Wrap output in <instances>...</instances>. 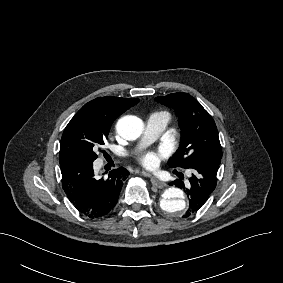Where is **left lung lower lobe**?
Here are the masks:
<instances>
[{
    "mask_svg": "<svg viewBox=\"0 0 283 283\" xmlns=\"http://www.w3.org/2000/svg\"><path fill=\"white\" fill-rule=\"evenodd\" d=\"M220 163L221 159L218 158H204L188 168L193 171V174L189 178L191 187L186 189L189 198V208L183 216L184 218L197 212L215 189Z\"/></svg>",
    "mask_w": 283,
    "mask_h": 283,
    "instance_id": "1",
    "label": "left lung lower lobe"
}]
</instances>
